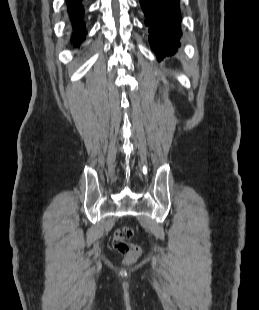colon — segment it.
I'll list each match as a JSON object with an SVG mask.
<instances>
[{
    "instance_id": "1",
    "label": "colon",
    "mask_w": 259,
    "mask_h": 310,
    "mask_svg": "<svg viewBox=\"0 0 259 310\" xmlns=\"http://www.w3.org/2000/svg\"><path fill=\"white\" fill-rule=\"evenodd\" d=\"M133 235V229L123 226L117 229L112 239L113 248L124 256L126 263L135 262L141 255V247L129 242Z\"/></svg>"
}]
</instances>
